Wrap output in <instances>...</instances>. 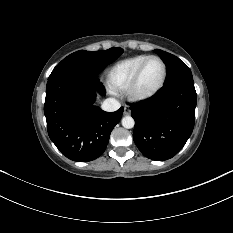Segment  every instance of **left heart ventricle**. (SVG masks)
Instances as JSON below:
<instances>
[{
    "instance_id": "1",
    "label": "left heart ventricle",
    "mask_w": 233,
    "mask_h": 233,
    "mask_svg": "<svg viewBox=\"0 0 233 233\" xmlns=\"http://www.w3.org/2000/svg\"><path fill=\"white\" fill-rule=\"evenodd\" d=\"M163 74V67L159 60L151 59L145 66L138 83L139 92H149L160 82Z\"/></svg>"
}]
</instances>
